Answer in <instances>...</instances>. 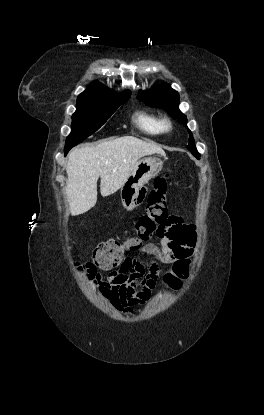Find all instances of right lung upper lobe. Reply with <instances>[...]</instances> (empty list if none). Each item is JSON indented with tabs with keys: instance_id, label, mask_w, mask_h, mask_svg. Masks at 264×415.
Listing matches in <instances>:
<instances>
[{
	"instance_id": "right-lung-upper-lobe-1",
	"label": "right lung upper lobe",
	"mask_w": 264,
	"mask_h": 415,
	"mask_svg": "<svg viewBox=\"0 0 264 415\" xmlns=\"http://www.w3.org/2000/svg\"><path fill=\"white\" fill-rule=\"evenodd\" d=\"M130 94V91L126 90L121 97L130 96ZM102 97H118V95L113 90L108 89L98 81H94L91 83L90 87L78 96V99Z\"/></svg>"
}]
</instances>
